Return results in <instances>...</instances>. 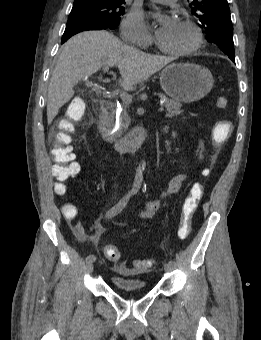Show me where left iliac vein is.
<instances>
[{
    "instance_id": "left-iliac-vein-1",
    "label": "left iliac vein",
    "mask_w": 261,
    "mask_h": 340,
    "mask_svg": "<svg viewBox=\"0 0 261 340\" xmlns=\"http://www.w3.org/2000/svg\"><path fill=\"white\" fill-rule=\"evenodd\" d=\"M174 266L170 265L169 263L164 264V270L166 272H171L173 270Z\"/></svg>"
}]
</instances>
